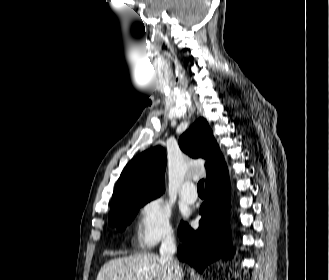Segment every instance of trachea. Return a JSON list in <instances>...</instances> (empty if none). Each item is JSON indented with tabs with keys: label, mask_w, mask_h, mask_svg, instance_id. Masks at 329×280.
Here are the masks:
<instances>
[{
	"label": "trachea",
	"mask_w": 329,
	"mask_h": 280,
	"mask_svg": "<svg viewBox=\"0 0 329 280\" xmlns=\"http://www.w3.org/2000/svg\"><path fill=\"white\" fill-rule=\"evenodd\" d=\"M198 191H204V179L200 180L197 184Z\"/></svg>",
	"instance_id": "1"
}]
</instances>
